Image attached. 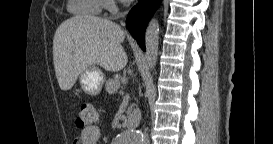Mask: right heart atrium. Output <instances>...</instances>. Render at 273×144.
Here are the masks:
<instances>
[{
    "label": "right heart atrium",
    "instance_id": "d8ad5b80",
    "mask_svg": "<svg viewBox=\"0 0 273 144\" xmlns=\"http://www.w3.org/2000/svg\"><path fill=\"white\" fill-rule=\"evenodd\" d=\"M103 8L111 14H116L118 11L117 4L114 0H103Z\"/></svg>",
    "mask_w": 273,
    "mask_h": 144
}]
</instances>
